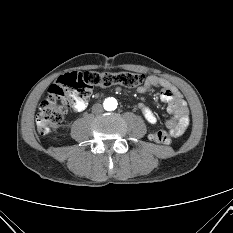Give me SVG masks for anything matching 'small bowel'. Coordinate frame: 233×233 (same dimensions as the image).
<instances>
[{
  "label": "small bowel",
  "mask_w": 233,
  "mask_h": 233,
  "mask_svg": "<svg viewBox=\"0 0 233 233\" xmlns=\"http://www.w3.org/2000/svg\"><path fill=\"white\" fill-rule=\"evenodd\" d=\"M157 87L161 89L160 98L168 104L167 110L171 115L166 121V127L172 136H180L190 125V113L187 104L175 86L165 78L156 75L149 76L145 84L138 88V92L142 94L148 93ZM87 106L88 101H81L74 106V110L81 112L85 110ZM138 108L141 110L148 123L152 125L157 123V116L149 107L140 103Z\"/></svg>",
  "instance_id": "c3829d8e"
}]
</instances>
